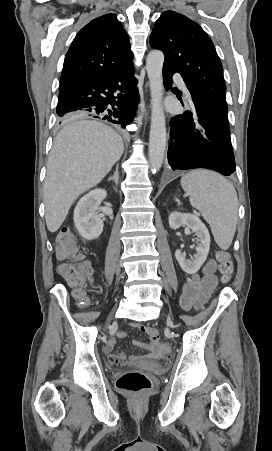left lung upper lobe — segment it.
Instances as JSON below:
<instances>
[{
	"mask_svg": "<svg viewBox=\"0 0 272 451\" xmlns=\"http://www.w3.org/2000/svg\"><path fill=\"white\" fill-rule=\"evenodd\" d=\"M150 45L164 52L165 67L178 72L192 96L227 114L221 61L205 31L186 16L165 11L150 35Z\"/></svg>",
	"mask_w": 272,
	"mask_h": 451,
	"instance_id": "left-lung-upper-lobe-1",
	"label": "left lung upper lobe"
}]
</instances>
